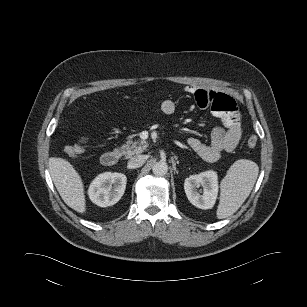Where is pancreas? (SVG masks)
Instances as JSON below:
<instances>
[{"instance_id": "obj_1", "label": "pancreas", "mask_w": 307, "mask_h": 307, "mask_svg": "<svg viewBox=\"0 0 307 307\" xmlns=\"http://www.w3.org/2000/svg\"><path fill=\"white\" fill-rule=\"evenodd\" d=\"M148 146V142L144 140H128L124 145H122L121 154L126 158H129L135 154L142 153L147 149Z\"/></svg>"}]
</instances>
